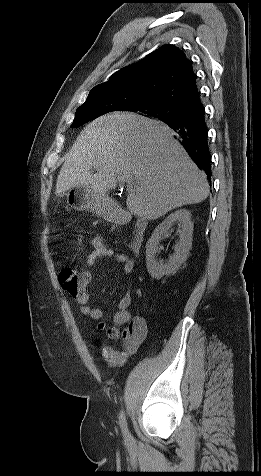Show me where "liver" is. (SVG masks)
Segmentation results:
<instances>
[{
    "instance_id": "1",
    "label": "liver",
    "mask_w": 261,
    "mask_h": 476,
    "mask_svg": "<svg viewBox=\"0 0 261 476\" xmlns=\"http://www.w3.org/2000/svg\"><path fill=\"white\" fill-rule=\"evenodd\" d=\"M64 160L57 177L58 196L78 186L106 195L125 176L132 181L127 208L147 220L200 203L209 195L206 174L173 138L172 130L134 113L115 112L95 119Z\"/></svg>"
}]
</instances>
